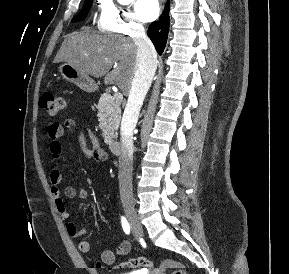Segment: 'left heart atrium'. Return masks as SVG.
<instances>
[{
	"label": "left heart atrium",
	"instance_id": "39dd6f15",
	"mask_svg": "<svg viewBox=\"0 0 289 274\" xmlns=\"http://www.w3.org/2000/svg\"><path fill=\"white\" fill-rule=\"evenodd\" d=\"M136 12L138 17L144 21L149 22L156 19L160 12L158 0H137Z\"/></svg>",
	"mask_w": 289,
	"mask_h": 274
}]
</instances>
